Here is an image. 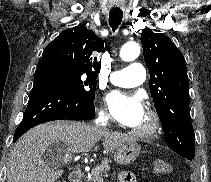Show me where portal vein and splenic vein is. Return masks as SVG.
Returning a JSON list of instances; mask_svg holds the SVG:
<instances>
[{
	"label": "portal vein and splenic vein",
	"mask_w": 211,
	"mask_h": 182,
	"mask_svg": "<svg viewBox=\"0 0 211 182\" xmlns=\"http://www.w3.org/2000/svg\"><path fill=\"white\" fill-rule=\"evenodd\" d=\"M72 159H73V156L71 154H66L65 157H64L65 161H70Z\"/></svg>",
	"instance_id": "portal-vein-and-splenic-vein-1"
}]
</instances>
